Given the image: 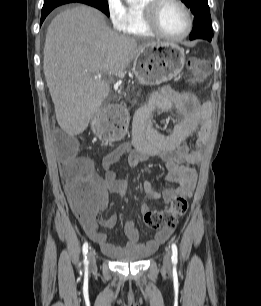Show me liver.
I'll return each mask as SVG.
<instances>
[{"instance_id": "6515ba94", "label": "liver", "mask_w": 261, "mask_h": 306, "mask_svg": "<svg viewBox=\"0 0 261 306\" xmlns=\"http://www.w3.org/2000/svg\"><path fill=\"white\" fill-rule=\"evenodd\" d=\"M155 44L114 32L93 7L59 13L47 30L43 70L61 129L70 135L84 132L110 92L101 74L122 72Z\"/></svg>"}]
</instances>
